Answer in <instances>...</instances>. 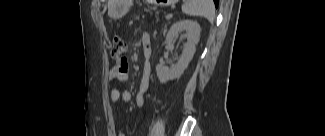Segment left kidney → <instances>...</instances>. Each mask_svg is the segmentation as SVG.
Masks as SVG:
<instances>
[{
  "mask_svg": "<svg viewBox=\"0 0 325 136\" xmlns=\"http://www.w3.org/2000/svg\"><path fill=\"white\" fill-rule=\"evenodd\" d=\"M200 31V25L191 20H181L171 26L166 35L164 44H171L179 33H183L187 38V42L184 44L182 55L171 69L165 67L163 64H158L156 66L157 77L161 83L180 78L184 73L195 54Z\"/></svg>",
  "mask_w": 325,
  "mask_h": 136,
  "instance_id": "1",
  "label": "left kidney"
}]
</instances>
